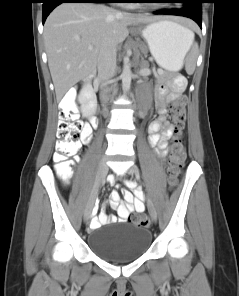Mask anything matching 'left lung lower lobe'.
<instances>
[{
    "label": "left lung lower lobe",
    "mask_w": 239,
    "mask_h": 296,
    "mask_svg": "<svg viewBox=\"0 0 239 296\" xmlns=\"http://www.w3.org/2000/svg\"><path fill=\"white\" fill-rule=\"evenodd\" d=\"M178 3H184L182 9H164L155 11L154 14H168L184 16L193 19L202 28V2L197 0H181Z\"/></svg>",
    "instance_id": "left-lung-lower-lobe-1"
}]
</instances>
